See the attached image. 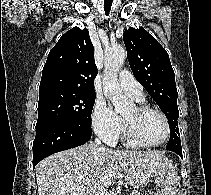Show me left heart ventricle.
I'll list each match as a JSON object with an SVG mask.
<instances>
[{
	"label": "left heart ventricle",
	"mask_w": 211,
	"mask_h": 195,
	"mask_svg": "<svg viewBox=\"0 0 211 195\" xmlns=\"http://www.w3.org/2000/svg\"><path fill=\"white\" fill-rule=\"evenodd\" d=\"M123 116L133 122L139 137L143 141L157 143L164 139L166 126L160 115L153 112L139 114L133 107L124 113Z\"/></svg>",
	"instance_id": "left-heart-ventricle-1"
}]
</instances>
